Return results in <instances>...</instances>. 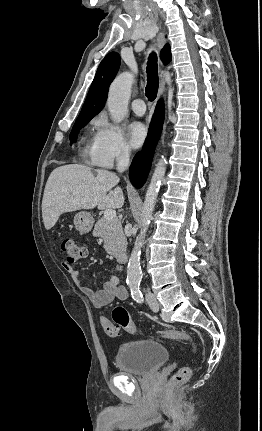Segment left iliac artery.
Returning <instances> with one entry per match:
<instances>
[{"instance_id": "44dca946", "label": "left iliac artery", "mask_w": 262, "mask_h": 431, "mask_svg": "<svg viewBox=\"0 0 262 431\" xmlns=\"http://www.w3.org/2000/svg\"><path fill=\"white\" fill-rule=\"evenodd\" d=\"M130 286V291H131V295L132 298L136 301V302H143V295L142 292L140 291V282H133L129 284Z\"/></svg>"}]
</instances>
